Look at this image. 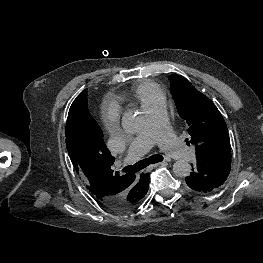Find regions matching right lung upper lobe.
<instances>
[{
	"instance_id": "cb5924a9",
	"label": "right lung upper lobe",
	"mask_w": 263,
	"mask_h": 263,
	"mask_svg": "<svg viewBox=\"0 0 263 263\" xmlns=\"http://www.w3.org/2000/svg\"><path fill=\"white\" fill-rule=\"evenodd\" d=\"M84 97L85 90L74 100L68 113L65 135L71 162L99 203L124 200L123 211L133 209L146 195L148 187L141 183L142 174L120 176L119 172H113L114 157L104 143L100 127L85 107Z\"/></svg>"
}]
</instances>
